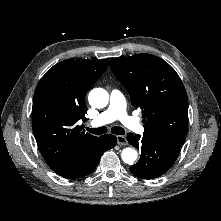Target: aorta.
<instances>
[{
    "instance_id": "762f6f07",
    "label": "aorta",
    "mask_w": 221,
    "mask_h": 221,
    "mask_svg": "<svg viewBox=\"0 0 221 221\" xmlns=\"http://www.w3.org/2000/svg\"><path fill=\"white\" fill-rule=\"evenodd\" d=\"M88 101L95 108H104L109 102V94L103 88H94L90 91ZM122 160L131 165L137 159V151L133 148H124L121 152Z\"/></svg>"
}]
</instances>
